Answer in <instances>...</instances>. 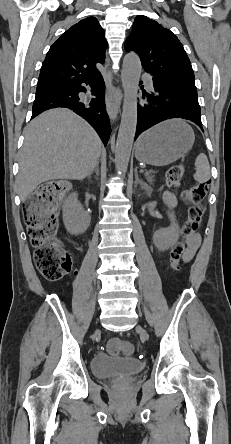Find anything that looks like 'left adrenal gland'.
<instances>
[{
	"instance_id": "left-adrenal-gland-1",
	"label": "left adrenal gland",
	"mask_w": 231,
	"mask_h": 444,
	"mask_svg": "<svg viewBox=\"0 0 231 444\" xmlns=\"http://www.w3.org/2000/svg\"><path fill=\"white\" fill-rule=\"evenodd\" d=\"M141 185V188L148 190L149 186L142 179L138 177L137 169L135 170V186Z\"/></svg>"
}]
</instances>
